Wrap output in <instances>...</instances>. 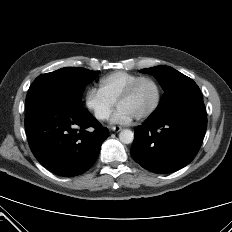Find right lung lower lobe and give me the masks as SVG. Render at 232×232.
<instances>
[{"label":"right lung lower lobe","instance_id":"obj_1","mask_svg":"<svg viewBox=\"0 0 232 232\" xmlns=\"http://www.w3.org/2000/svg\"><path fill=\"white\" fill-rule=\"evenodd\" d=\"M26 110L29 146L46 169L72 177L94 164L101 144L108 137V129L88 110L57 104H37Z\"/></svg>","mask_w":232,"mask_h":232}]
</instances>
